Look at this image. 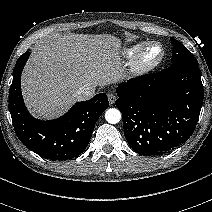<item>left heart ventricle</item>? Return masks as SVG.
<instances>
[{"instance_id": "1", "label": "left heart ventricle", "mask_w": 212, "mask_h": 212, "mask_svg": "<svg viewBox=\"0 0 212 212\" xmlns=\"http://www.w3.org/2000/svg\"><path fill=\"white\" fill-rule=\"evenodd\" d=\"M158 54V49L157 48H153L151 49V51L149 52V56L150 57H154Z\"/></svg>"}]
</instances>
